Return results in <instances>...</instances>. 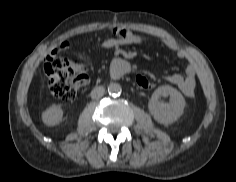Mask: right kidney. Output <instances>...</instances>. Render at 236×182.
<instances>
[{
  "mask_svg": "<svg viewBox=\"0 0 236 182\" xmlns=\"http://www.w3.org/2000/svg\"><path fill=\"white\" fill-rule=\"evenodd\" d=\"M63 110L58 105H53L42 114V121L47 126H54L62 121Z\"/></svg>",
  "mask_w": 236,
  "mask_h": 182,
  "instance_id": "obj_1",
  "label": "right kidney"
}]
</instances>
